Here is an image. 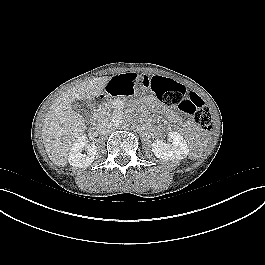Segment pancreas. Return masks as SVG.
I'll use <instances>...</instances> for the list:
<instances>
[{
	"label": "pancreas",
	"instance_id": "pancreas-1",
	"mask_svg": "<svg viewBox=\"0 0 265 265\" xmlns=\"http://www.w3.org/2000/svg\"><path fill=\"white\" fill-rule=\"evenodd\" d=\"M113 103H114V101H110L108 103H105L100 108L99 114H100L101 117H107V116H110L111 114L116 113V112L119 111L118 109H115V106H114Z\"/></svg>",
	"mask_w": 265,
	"mask_h": 265
}]
</instances>
